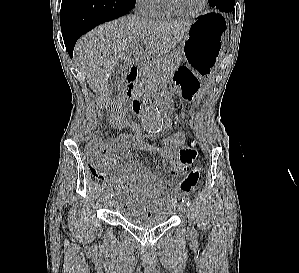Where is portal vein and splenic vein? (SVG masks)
Wrapping results in <instances>:
<instances>
[{"instance_id":"18ae733b","label":"portal vein and splenic vein","mask_w":299,"mask_h":273,"mask_svg":"<svg viewBox=\"0 0 299 273\" xmlns=\"http://www.w3.org/2000/svg\"><path fill=\"white\" fill-rule=\"evenodd\" d=\"M137 60L138 61H144V57H138Z\"/></svg>"}]
</instances>
